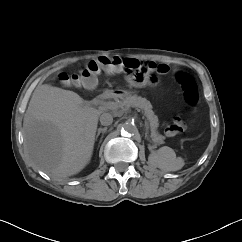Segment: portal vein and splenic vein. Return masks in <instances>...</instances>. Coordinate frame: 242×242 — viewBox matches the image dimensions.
Masks as SVG:
<instances>
[{"label": "portal vein and splenic vein", "mask_w": 242, "mask_h": 242, "mask_svg": "<svg viewBox=\"0 0 242 242\" xmlns=\"http://www.w3.org/2000/svg\"><path fill=\"white\" fill-rule=\"evenodd\" d=\"M106 106L112 110H117L119 108V105L116 102H108L106 103ZM145 126H148L147 121H145Z\"/></svg>", "instance_id": "obj_1"}]
</instances>
